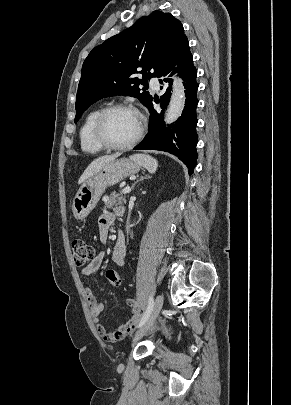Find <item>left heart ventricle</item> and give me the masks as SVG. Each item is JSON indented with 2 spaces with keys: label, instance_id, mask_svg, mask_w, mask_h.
Returning <instances> with one entry per match:
<instances>
[{
  "label": "left heart ventricle",
  "instance_id": "b2bd125f",
  "mask_svg": "<svg viewBox=\"0 0 291 405\" xmlns=\"http://www.w3.org/2000/svg\"><path fill=\"white\" fill-rule=\"evenodd\" d=\"M140 127V119L132 110H117L108 115L104 124L106 138L115 144L131 141Z\"/></svg>",
  "mask_w": 291,
  "mask_h": 405
}]
</instances>
